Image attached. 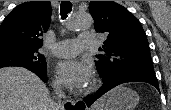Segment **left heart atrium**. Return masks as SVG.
Segmentation results:
<instances>
[{
  "label": "left heart atrium",
  "mask_w": 171,
  "mask_h": 110,
  "mask_svg": "<svg viewBox=\"0 0 171 110\" xmlns=\"http://www.w3.org/2000/svg\"><path fill=\"white\" fill-rule=\"evenodd\" d=\"M56 74L67 88L81 90L90 80L91 68L86 62L68 59L60 61L56 65Z\"/></svg>",
  "instance_id": "39dd6f15"
}]
</instances>
